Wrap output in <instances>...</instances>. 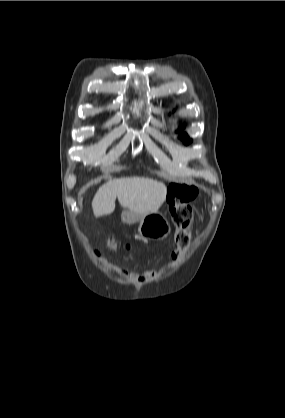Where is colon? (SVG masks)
<instances>
[{"instance_id": "obj_1", "label": "colon", "mask_w": 285, "mask_h": 418, "mask_svg": "<svg viewBox=\"0 0 285 418\" xmlns=\"http://www.w3.org/2000/svg\"><path fill=\"white\" fill-rule=\"evenodd\" d=\"M194 194L191 188L183 185H174L169 194L170 220L175 226V242L177 248L173 252V258L183 253L190 243V230L193 224L194 215L192 201ZM109 248H116L118 242L112 237L104 239ZM128 244L124 243L123 248L127 249Z\"/></svg>"}]
</instances>
